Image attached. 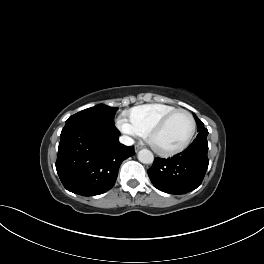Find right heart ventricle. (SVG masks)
<instances>
[{
	"mask_svg": "<svg viewBox=\"0 0 264 264\" xmlns=\"http://www.w3.org/2000/svg\"><path fill=\"white\" fill-rule=\"evenodd\" d=\"M176 107L164 103L145 104L131 109L127 114L140 136H146L150 129Z\"/></svg>",
	"mask_w": 264,
	"mask_h": 264,
	"instance_id": "e07e8e85",
	"label": "right heart ventricle"
}]
</instances>
